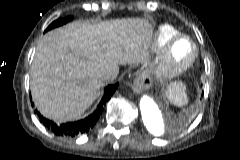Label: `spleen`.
<instances>
[{
  "label": "spleen",
  "mask_w": 240,
  "mask_h": 160,
  "mask_svg": "<svg viewBox=\"0 0 240 160\" xmlns=\"http://www.w3.org/2000/svg\"><path fill=\"white\" fill-rule=\"evenodd\" d=\"M168 97L177 106H183L188 103L186 87L181 82H174L169 86Z\"/></svg>",
  "instance_id": "obj_1"
}]
</instances>
